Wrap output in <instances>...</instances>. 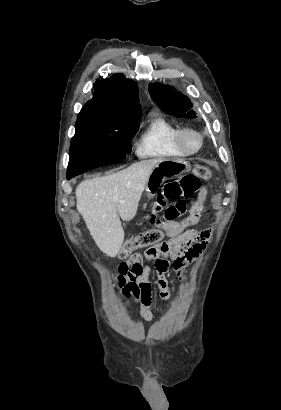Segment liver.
Here are the masks:
<instances>
[{"label":"liver","mask_w":281,"mask_h":410,"mask_svg":"<svg viewBox=\"0 0 281 410\" xmlns=\"http://www.w3.org/2000/svg\"><path fill=\"white\" fill-rule=\"evenodd\" d=\"M159 160H143L77 186V210L96 245L107 256L119 253L124 241L120 218L128 222L135 217L147 179Z\"/></svg>","instance_id":"1"}]
</instances>
